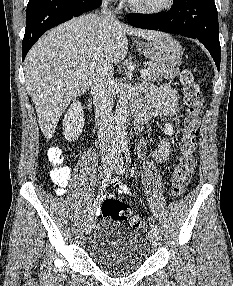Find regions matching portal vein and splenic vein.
Masks as SVG:
<instances>
[{
  "label": "portal vein and splenic vein",
  "instance_id": "portal-vein-and-splenic-vein-1",
  "mask_svg": "<svg viewBox=\"0 0 233 286\" xmlns=\"http://www.w3.org/2000/svg\"><path fill=\"white\" fill-rule=\"evenodd\" d=\"M140 73H141L142 76H145V75L149 74V71L146 70V69H143V70L140 71Z\"/></svg>",
  "mask_w": 233,
  "mask_h": 286
}]
</instances>
